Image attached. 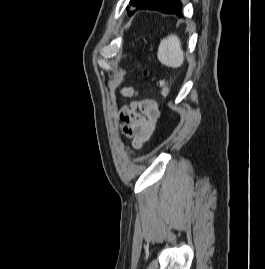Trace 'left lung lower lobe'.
I'll list each match as a JSON object with an SVG mask.
<instances>
[{
	"instance_id": "left-lung-lower-lobe-1",
	"label": "left lung lower lobe",
	"mask_w": 265,
	"mask_h": 269,
	"mask_svg": "<svg viewBox=\"0 0 265 269\" xmlns=\"http://www.w3.org/2000/svg\"><path fill=\"white\" fill-rule=\"evenodd\" d=\"M138 9L157 10L166 14L181 16L182 5L179 0H146ZM134 12H131V15Z\"/></svg>"
}]
</instances>
